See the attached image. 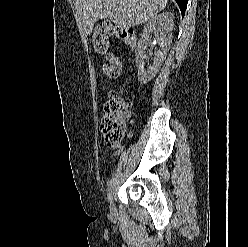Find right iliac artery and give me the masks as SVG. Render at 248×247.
I'll return each mask as SVG.
<instances>
[{"label":"right iliac artery","mask_w":248,"mask_h":247,"mask_svg":"<svg viewBox=\"0 0 248 247\" xmlns=\"http://www.w3.org/2000/svg\"><path fill=\"white\" fill-rule=\"evenodd\" d=\"M114 181H115V177H113L109 183H108V188H107V198L110 201L111 200V192L113 189V185H114Z\"/></svg>","instance_id":"obj_1"}]
</instances>
